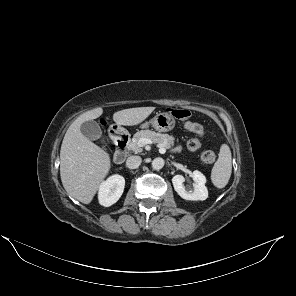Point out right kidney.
<instances>
[{
  "label": "right kidney",
  "instance_id": "obj_1",
  "mask_svg": "<svg viewBox=\"0 0 296 296\" xmlns=\"http://www.w3.org/2000/svg\"><path fill=\"white\" fill-rule=\"evenodd\" d=\"M125 179L121 175H113L99 187L98 199L102 206L109 207L116 203L123 194Z\"/></svg>",
  "mask_w": 296,
  "mask_h": 296
}]
</instances>
